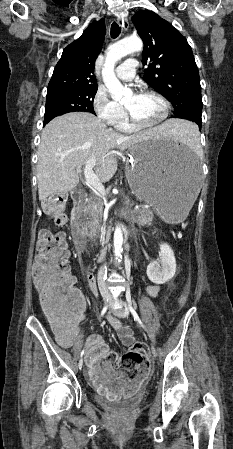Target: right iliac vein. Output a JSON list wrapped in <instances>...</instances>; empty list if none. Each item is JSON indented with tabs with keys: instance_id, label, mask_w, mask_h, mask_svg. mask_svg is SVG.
<instances>
[{
	"instance_id": "obj_1",
	"label": "right iliac vein",
	"mask_w": 233,
	"mask_h": 449,
	"mask_svg": "<svg viewBox=\"0 0 233 449\" xmlns=\"http://www.w3.org/2000/svg\"><path fill=\"white\" fill-rule=\"evenodd\" d=\"M104 301L106 302V298H104ZM82 366H83V360L81 359V360L79 361V363H78L79 369H81Z\"/></svg>"
}]
</instances>
